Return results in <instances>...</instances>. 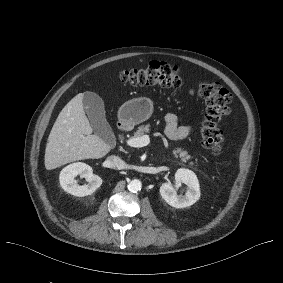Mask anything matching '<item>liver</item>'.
Masks as SVG:
<instances>
[{
  "label": "liver",
  "mask_w": 283,
  "mask_h": 283,
  "mask_svg": "<svg viewBox=\"0 0 283 283\" xmlns=\"http://www.w3.org/2000/svg\"><path fill=\"white\" fill-rule=\"evenodd\" d=\"M84 93L75 96L59 114L45 150L46 170L80 160L101 159L113 146L93 130L83 107Z\"/></svg>",
  "instance_id": "6515ba94"
}]
</instances>
